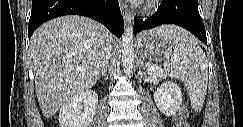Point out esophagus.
Returning <instances> with one entry per match:
<instances>
[{
    "label": "esophagus",
    "instance_id": "esophagus-1",
    "mask_svg": "<svg viewBox=\"0 0 243 127\" xmlns=\"http://www.w3.org/2000/svg\"><path fill=\"white\" fill-rule=\"evenodd\" d=\"M120 9L124 19L125 24H128L132 19V14L126 2L120 0Z\"/></svg>",
    "mask_w": 243,
    "mask_h": 127
}]
</instances>
